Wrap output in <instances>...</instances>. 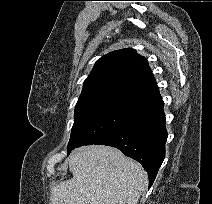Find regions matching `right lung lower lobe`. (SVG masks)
Instances as JSON below:
<instances>
[{"label": "right lung lower lobe", "mask_w": 212, "mask_h": 204, "mask_svg": "<svg viewBox=\"0 0 212 204\" xmlns=\"http://www.w3.org/2000/svg\"><path fill=\"white\" fill-rule=\"evenodd\" d=\"M163 105L160 96L153 99L124 126L94 143L115 147L138 161L148 173L149 187L165 158L167 131Z\"/></svg>", "instance_id": "1"}]
</instances>
